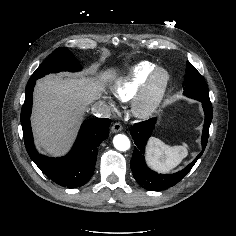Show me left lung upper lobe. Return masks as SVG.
<instances>
[{"instance_id": "5c2ea615", "label": "left lung upper lobe", "mask_w": 236, "mask_h": 236, "mask_svg": "<svg viewBox=\"0 0 236 236\" xmlns=\"http://www.w3.org/2000/svg\"><path fill=\"white\" fill-rule=\"evenodd\" d=\"M183 85L186 96L201 102H210L209 91L204 78L190 62H187Z\"/></svg>"}]
</instances>
